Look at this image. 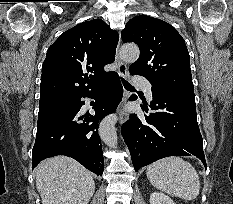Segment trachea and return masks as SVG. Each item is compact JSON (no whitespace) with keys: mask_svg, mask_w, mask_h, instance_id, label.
<instances>
[{"mask_svg":"<svg viewBox=\"0 0 233 204\" xmlns=\"http://www.w3.org/2000/svg\"><path fill=\"white\" fill-rule=\"evenodd\" d=\"M122 83H123V85H124V87L126 89H128V90L133 89V87L126 80H124L123 78H122Z\"/></svg>","mask_w":233,"mask_h":204,"instance_id":"3493384b","label":"trachea"}]
</instances>
